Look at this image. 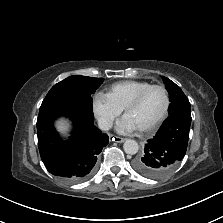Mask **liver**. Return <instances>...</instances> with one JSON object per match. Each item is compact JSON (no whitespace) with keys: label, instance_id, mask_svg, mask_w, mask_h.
Segmentation results:
<instances>
[{"label":"liver","instance_id":"6515ba94","mask_svg":"<svg viewBox=\"0 0 223 223\" xmlns=\"http://www.w3.org/2000/svg\"><path fill=\"white\" fill-rule=\"evenodd\" d=\"M56 127L60 133L67 135V132L69 131V122L64 119H60L56 122Z\"/></svg>","mask_w":223,"mask_h":223}]
</instances>
